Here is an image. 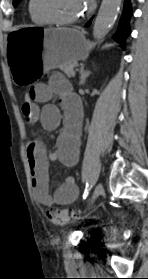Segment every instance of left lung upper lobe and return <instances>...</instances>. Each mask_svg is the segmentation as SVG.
I'll list each match as a JSON object with an SVG mask.
<instances>
[{
  "instance_id": "1",
  "label": "left lung upper lobe",
  "mask_w": 148,
  "mask_h": 279,
  "mask_svg": "<svg viewBox=\"0 0 148 279\" xmlns=\"http://www.w3.org/2000/svg\"><path fill=\"white\" fill-rule=\"evenodd\" d=\"M20 1H21V0H13V5H14V6H17L18 3H19Z\"/></svg>"
}]
</instances>
